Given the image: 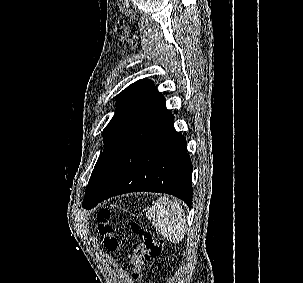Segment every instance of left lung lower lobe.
<instances>
[{"instance_id": "1", "label": "left lung lower lobe", "mask_w": 303, "mask_h": 283, "mask_svg": "<svg viewBox=\"0 0 303 283\" xmlns=\"http://www.w3.org/2000/svg\"><path fill=\"white\" fill-rule=\"evenodd\" d=\"M192 163L186 139L173 127V116L159 94L126 143L108 177L84 197L90 209L115 195L135 191L174 195L191 207Z\"/></svg>"}]
</instances>
